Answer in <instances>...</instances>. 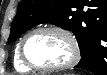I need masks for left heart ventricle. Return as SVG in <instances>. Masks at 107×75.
Wrapping results in <instances>:
<instances>
[{
  "label": "left heart ventricle",
  "instance_id": "1",
  "mask_svg": "<svg viewBox=\"0 0 107 75\" xmlns=\"http://www.w3.org/2000/svg\"><path fill=\"white\" fill-rule=\"evenodd\" d=\"M27 58L36 65L55 66L66 63L71 57V48L65 38L53 32L33 35L25 47Z\"/></svg>",
  "mask_w": 107,
  "mask_h": 75
}]
</instances>
